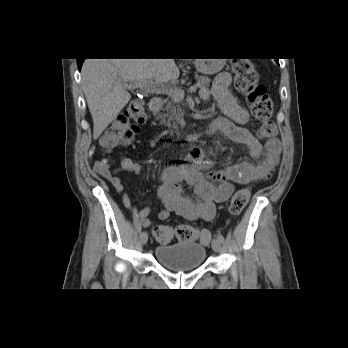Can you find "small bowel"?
Instances as JSON below:
<instances>
[{"instance_id": "1", "label": "small bowel", "mask_w": 348, "mask_h": 348, "mask_svg": "<svg viewBox=\"0 0 348 348\" xmlns=\"http://www.w3.org/2000/svg\"><path fill=\"white\" fill-rule=\"evenodd\" d=\"M231 81V74L220 73L214 81L213 88H202L199 95L203 101L215 98L223 113V116L215 118L211 123V131L247 147L257 163L245 162L224 169H213L200 148L191 149L188 155L189 163L168 166L161 175L157 192L162 204L159 219H168L175 213L191 221H211L216 214V204L226 202L234 192L236 184L249 185L266 180L275 171L281 154L280 141L277 137H272L262 145L250 133L246 128L249 122L248 112L238 104L231 93ZM93 168L97 175L108 180L122 195L124 206L142 226L149 228L154 224L149 218V207L138 208L132 204L120 175L122 172L140 173V164L123 156L117 168L112 167L107 160L97 161ZM183 181L193 186L197 198H189L183 194Z\"/></svg>"}]
</instances>
